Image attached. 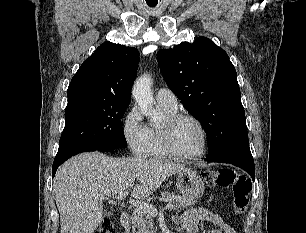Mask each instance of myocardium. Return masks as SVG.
Wrapping results in <instances>:
<instances>
[{"label": "myocardium", "mask_w": 306, "mask_h": 233, "mask_svg": "<svg viewBox=\"0 0 306 233\" xmlns=\"http://www.w3.org/2000/svg\"><path fill=\"white\" fill-rule=\"evenodd\" d=\"M183 120L193 121L201 131L202 134V148L198 153L195 154H184L180 152L173 141V133L175 127ZM163 141L166 150L171 156L179 159L192 160L203 157L206 154L208 148V134L202 121L196 116L189 113H176L167 118L165 125L162 127Z\"/></svg>", "instance_id": "obj_1"}]
</instances>
